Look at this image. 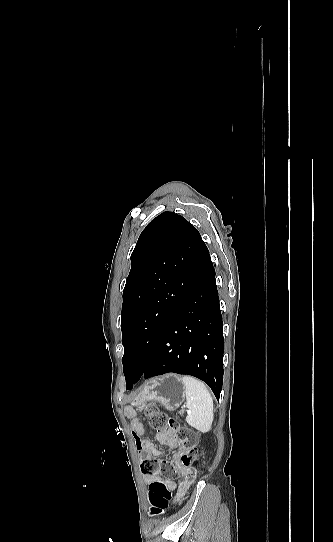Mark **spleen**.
I'll return each mask as SVG.
<instances>
[{
  "label": "spleen",
  "instance_id": "3e777b00",
  "mask_svg": "<svg viewBox=\"0 0 333 542\" xmlns=\"http://www.w3.org/2000/svg\"><path fill=\"white\" fill-rule=\"evenodd\" d=\"M181 382L186 396V408L189 410L186 422L198 432H210L213 422V400L205 384L192 378L183 376Z\"/></svg>",
  "mask_w": 333,
  "mask_h": 542
}]
</instances>
